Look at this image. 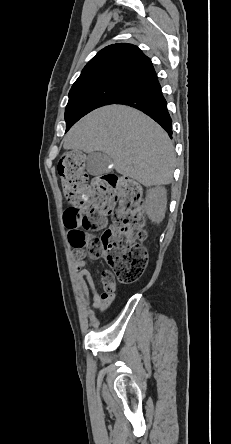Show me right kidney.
I'll return each instance as SVG.
<instances>
[{"label": "right kidney", "mask_w": 231, "mask_h": 444, "mask_svg": "<svg viewBox=\"0 0 231 444\" xmlns=\"http://www.w3.org/2000/svg\"><path fill=\"white\" fill-rule=\"evenodd\" d=\"M167 205L166 189L163 187L152 188L147 191L145 207L149 218L159 223L165 216Z\"/></svg>", "instance_id": "ca27d5eb"}]
</instances>
